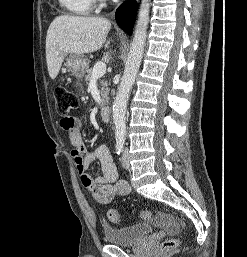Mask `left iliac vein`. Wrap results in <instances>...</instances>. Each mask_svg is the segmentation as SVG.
<instances>
[{"instance_id":"4c4485c4","label":"left iliac vein","mask_w":247,"mask_h":257,"mask_svg":"<svg viewBox=\"0 0 247 257\" xmlns=\"http://www.w3.org/2000/svg\"><path fill=\"white\" fill-rule=\"evenodd\" d=\"M121 163H122V166L125 168V169H128L130 167V162H129V152H128V149L126 148L123 152V155H122V158H121Z\"/></svg>"}]
</instances>
